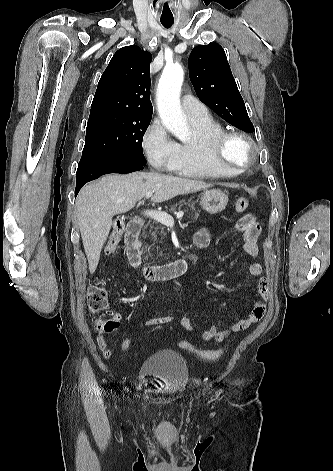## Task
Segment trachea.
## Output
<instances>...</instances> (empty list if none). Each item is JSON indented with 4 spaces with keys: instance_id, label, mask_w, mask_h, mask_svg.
<instances>
[{
    "instance_id": "1",
    "label": "trachea",
    "mask_w": 333,
    "mask_h": 471,
    "mask_svg": "<svg viewBox=\"0 0 333 471\" xmlns=\"http://www.w3.org/2000/svg\"><path fill=\"white\" fill-rule=\"evenodd\" d=\"M173 22L174 20H161V23L165 28H170Z\"/></svg>"
}]
</instances>
